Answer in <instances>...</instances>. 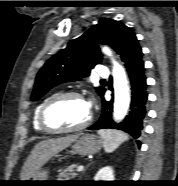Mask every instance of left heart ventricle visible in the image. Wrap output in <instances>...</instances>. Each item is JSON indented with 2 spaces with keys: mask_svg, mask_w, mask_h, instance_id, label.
<instances>
[{
  "mask_svg": "<svg viewBox=\"0 0 178 186\" xmlns=\"http://www.w3.org/2000/svg\"><path fill=\"white\" fill-rule=\"evenodd\" d=\"M89 114V108L83 100L68 97L55 102L46 114L47 123L57 129L76 127L82 124Z\"/></svg>",
  "mask_w": 178,
  "mask_h": 186,
  "instance_id": "1",
  "label": "left heart ventricle"
}]
</instances>
